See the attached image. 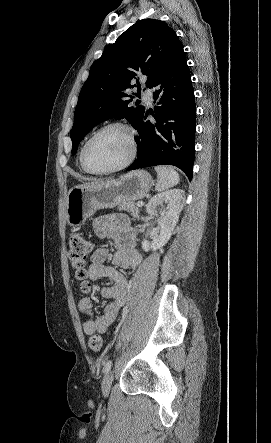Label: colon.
Returning <instances> with one entry per match:
<instances>
[{"mask_svg":"<svg viewBox=\"0 0 271 443\" xmlns=\"http://www.w3.org/2000/svg\"><path fill=\"white\" fill-rule=\"evenodd\" d=\"M93 242L91 239L82 234H72L68 239V256L72 267L76 270V275L83 282V289H88L86 282L87 272L85 265L89 254L93 250ZM89 347L94 352H101L103 349V340L101 335L92 334L89 338Z\"/></svg>","mask_w":271,"mask_h":443,"instance_id":"5ec220e1","label":"colon"}]
</instances>
